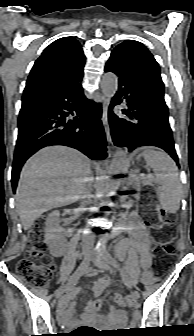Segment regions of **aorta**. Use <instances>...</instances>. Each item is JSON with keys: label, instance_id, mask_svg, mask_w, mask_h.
<instances>
[{"label": "aorta", "instance_id": "1", "mask_svg": "<svg viewBox=\"0 0 194 336\" xmlns=\"http://www.w3.org/2000/svg\"><path fill=\"white\" fill-rule=\"evenodd\" d=\"M101 89L108 99H111L115 95L118 89V80L114 73H106L102 77ZM127 168V151L125 149H120L108 168V177L105 183V192L108 196L116 195L121 184L120 177L127 171Z\"/></svg>", "mask_w": 194, "mask_h": 336}]
</instances>
